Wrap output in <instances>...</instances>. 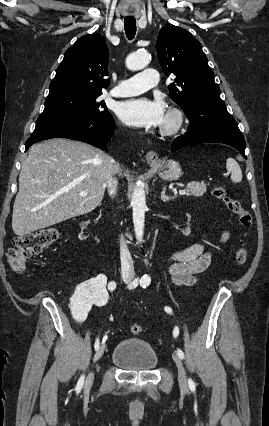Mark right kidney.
I'll use <instances>...</instances> for the list:
<instances>
[{"mask_svg": "<svg viewBox=\"0 0 269 426\" xmlns=\"http://www.w3.org/2000/svg\"><path fill=\"white\" fill-rule=\"evenodd\" d=\"M90 221L81 222V233L79 240H86L88 236L84 235L83 230L87 228ZM94 280H89L77 286L74 295L71 298V309L75 313H80V319H85L91 307L102 309L110 300L108 296V284L104 280V275L99 273Z\"/></svg>", "mask_w": 269, "mask_h": 426, "instance_id": "ca27d5eb", "label": "right kidney"}]
</instances>
